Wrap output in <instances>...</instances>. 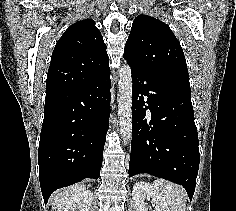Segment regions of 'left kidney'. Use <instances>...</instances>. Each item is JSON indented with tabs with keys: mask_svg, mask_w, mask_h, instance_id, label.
Returning a JSON list of instances; mask_svg holds the SVG:
<instances>
[{
	"mask_svg": "<svg viewBox=\"0 0 236 211\" xmlns=\"http://www.w3.org/2000/svg\"><path fill=\"white\" fill-rule=\"evenodd\" d=\"M132 195L136 211L148 210L145 203L146 198H151V201L155 206L154 211H170L165 199L146 182H136L133 185Z\"/></svg>",
	"mask_w": 236,
	"mask_h": 211,
	"instance_id": "1",
	"label": "left kidney"
}]
</instances>
